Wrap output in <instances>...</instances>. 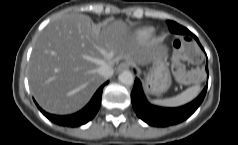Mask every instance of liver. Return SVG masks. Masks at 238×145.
Wrapping results in <instances>:
<instances>
[{
  "mask_svg": "<svg viewBox=\"0 0 238 145\" xmlns=\"http://www.w3.org/2000/svg\"><path fill=\"white\" fill-rule=\"evenodd\" d=\"M129 32L122 20L95 24L81 14L50 23L38 36L28 66L31 92L39 105L52 114L74 113L104 82L99 67L114 66L121 59L148 65L160 57L159 41L134 46Z\"/></svg>",
  "mask_w": 238,
  "mask_h": 145,
  "instance_id": "6515ba94",
  "label": "liver"
}]
</instances>
